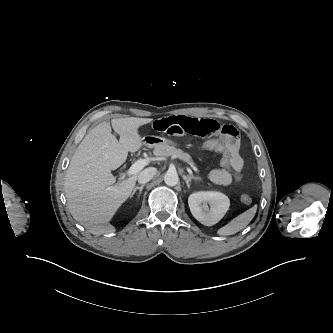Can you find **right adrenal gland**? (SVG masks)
Wrapping results in <instances>:
<instances>
[{
    "instance_id": "1",
    "label": "right adrenal gland",
    "mask_w": 333,
    "mask_h": 333,
    "mask_svg": "<svg viewBox=\"0 0 333 333\" xmlns=\"http://www.w3.org/2000/svg\"><path fill=\"white\" fill-rule=\"evenodd\" d=\"M144 186H145V184H142L141 186H137V187H135V188L133 189L131 195H130V198L133 197V195L136 193L137 190H139V197H140V195H141V193H142V190H143Z\"/></svg>"
}]
</instances>
